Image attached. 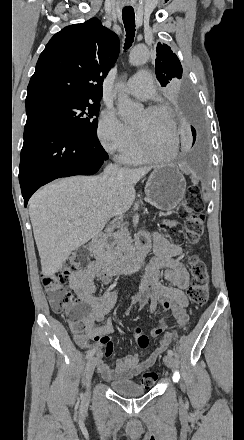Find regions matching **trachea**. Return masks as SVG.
Wrapping results in <instances>:
<instances>
[{"label":"trachea","mask_w":244,"mask_h":440,"mask_svg":"<svg viewBox=\"0 0 244 440\" xmlns=\"http://www.w3.org/2000/svg\"><path fill=\"white\" fill-rule=\"evenodd\" d=\"M123 22L126 30V40L124 48H129L134 39L135 34V13L132 8H123L122 10Z\"/></svg>","instance_id":"1"}]
</instances>
